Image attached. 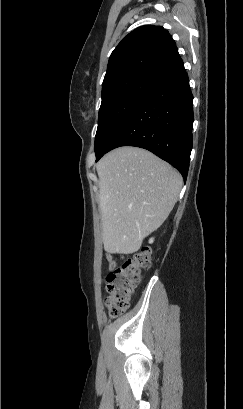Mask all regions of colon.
I'll return each instance as SVG.
<instances>
[{
	"label": "colon",
	"mask_w": 243,
	"mask_h": 409,
	"mask_svg": "<svg viewBox=\"0 0 243 409\" xmlns=\"http://www.w3.org/2000/svg\"><path fill=\"white\" fill-rule=\"evenodd\" d=\"M152 254L149 248H142L132 258L127 259L122 267H116L115 257L107 259V309L112 318H119L130 306L135 288L141 278V269L152 266Z\"/></svg>",
	"instance_id": "1"
}]
</instances>
